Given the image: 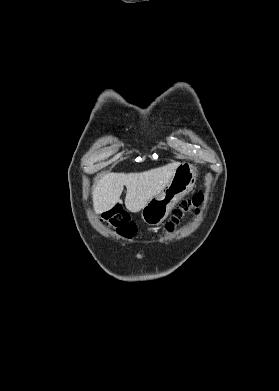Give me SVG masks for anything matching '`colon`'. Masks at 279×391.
<instances>
[{
  "label": "colon",
  "mask_w": 279,
  "mask_h": 391,
  "mask_svg": "<svg viewBox=\"0 0 279 391\" xmlns=\"http://www.w3.org/2000/svg\"><path fill=\"white\" fill-rule=\"evenodd\" d=\"M202 200V194L197 193L191 199L181 202L166 223L164 231L172 232L187 213L198 208ZM102 219L109 227L115 229L124 238H131L136 234L135 224L130 220L128 214L120 208L115 207L105 212Z\"/></svg>",
  "instance_id": "1"
}]
</instances>
